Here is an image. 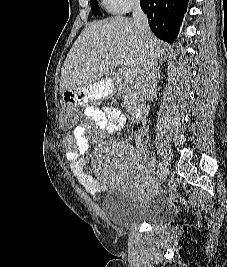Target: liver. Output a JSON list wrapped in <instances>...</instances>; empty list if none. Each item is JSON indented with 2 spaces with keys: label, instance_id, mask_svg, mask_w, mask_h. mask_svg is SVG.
Returning a JSON list of instances; mask_svg holds the SVG:
<instances>
[{
  "label": "liver",
  "instance_id": "1",
  "mask_svg": "<svg viewBox=\"0 0 227 267\" xmlns=\"http://www.w3.org/2000/svg\"><path fill=\"white\" fill-rule=\"evenodd\" d=\"M157 60L164 58L163 43L152 33L149 38ZM146 47L132 19L116 16L90 23L70 49L61 69L60 91L109 80L115 59L123 61L138 81L146 59Z\"/></svg>",
  "mask_w": 227,
  "mask_h": 267
}]
</instances>
